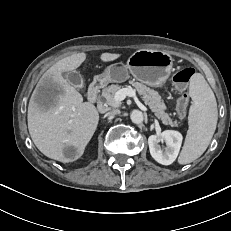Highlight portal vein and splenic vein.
<instances>
[{
    "label": "portal vein and splenic vein",
    "mask_w": 231,
    "mask_h": 231,
    "mask_svg": "<svg viewBox=\"0 0 231 231\" xmlns=\"http://www.w3.org/2000/svg\"><path fill=\"white\" fill-rule=\"evenodd\" d=\"M126 96L128 97H133L134 99H136V92L134 89H132L131 87H128V88H122L120 90H118L115 95H114V99L116 101H123Z\"/></svg>",
    "instance_id": "1"
}]
</instances>
